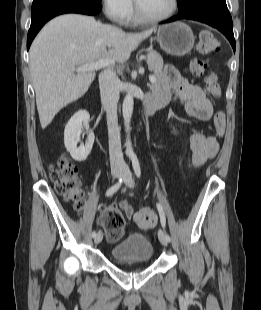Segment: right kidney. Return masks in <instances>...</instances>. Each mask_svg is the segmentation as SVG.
Returning <instances> with one entry per match:
<instances>
[{
    "mask_svg": "<svg viewBox=\"0 0 261 310\" xmlns=\"http://www.w3.org/2000/svg\"><path fill=\"white\" fill-rule=\"evenodd\" d=\"M90 115L86 110H79L68 121L64 130V144L71 157L78 162L85 161L94 144V133L89 132L86 144L77 147L83 128L89 129Z\"/></svg>",
    "mask_w": 261,
    "mask_h": 310,
    "instance_id": "1",
    "label": "right kidney"
}]
</instances>
